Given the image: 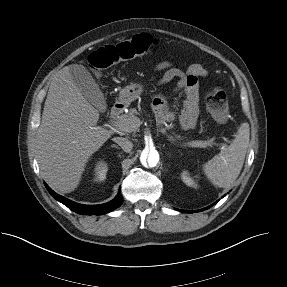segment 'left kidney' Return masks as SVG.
Here are the masks:
<instances>
[{
	"label": "left kidney",
	"instance_id": "1",
	"mask_svg": "<svg viewBox=\"0 0 287 287\" xmlns=\"http://www.w3.org/2000/svg\"><path fill=\"white\" fill-rule=\"evenodd\" d=\"M182 180L183 182L190 187H197V184L195 183V181L193 180L192 177H190L189 173L187 171H183L182 175Z\"/></svg>",
	"mask_w": 287,
	"mask_h": 287
}]
</instances>
